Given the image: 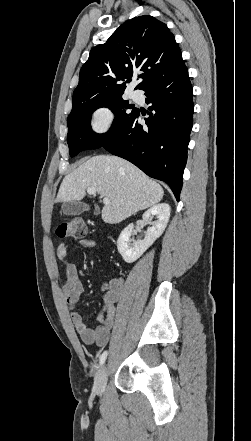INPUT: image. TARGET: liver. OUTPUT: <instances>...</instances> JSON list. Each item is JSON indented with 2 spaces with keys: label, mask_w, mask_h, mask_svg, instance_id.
<instances>
[{
  "label": "liver",
  "mask_w": 251,
  "mask_h": 441,
  "mask_svg": "<svg viewBox=\"0 0 251 441\" xmlns=\"http://www.w3.org/2000/svg\"><path fill=\"white\" fill-rule=\"evenodd\" d=\"M91 187L110 200L102 209V220L108 224L120 223L157 204L164 194L157 182L132 163L116 156L98 155L64 177L57 202L82 200Z\"/></svg>",
  "instance_id": "liver-1"
}]
</instances>
